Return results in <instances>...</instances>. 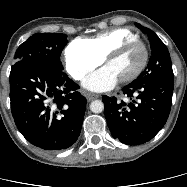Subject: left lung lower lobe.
I'll use <instances>...</instances> for the list:
<instances>
[{"label":"left lung lower lobe","instance_id":"left-lung-lower-lobe-1","mask_svg":"<svg viewBox=\"0 0 187 187\" xmlns=\"http://www.w3.org/2000/svg\"><path fill=\"white\" fill-rule=\"evenodd\" d=\"M174 81H152L122 89L129 101L103 96L105 118L112 136L127 145L151 140L166 123L172 104Z\"/></svg>","mask_w":187,"mask_h":187}]
</instances>
